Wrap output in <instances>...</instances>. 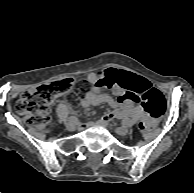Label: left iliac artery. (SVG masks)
Returning a JSON list of instances; mask_svg holds the SVG:
<instances>
[{
  "mask_svg": "<svg viewBox=\"0 0 194 193\" xmlns=\"http://www.w3.org/2000/svg\"><path fill=\"white\" fill-rule=\"evenodd\" d=\"M129 122H130V119L129 118H125L122 123L124 125H127Z\"/></svg>",
  "mask_w": 194,
  "mask_h": 193,
  "instance_id": "1",
  "label": "left iliac artery"
}]
</instances>
